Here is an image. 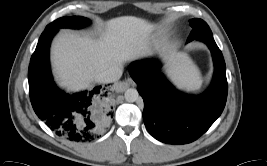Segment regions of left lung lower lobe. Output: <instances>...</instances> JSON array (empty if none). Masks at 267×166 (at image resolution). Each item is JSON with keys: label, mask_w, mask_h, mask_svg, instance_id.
Here are the masks:
<instances>
[{"label": "left lung lower lobe", "mask_w": 267, "mask_h": 166, "mask_svg": "<svg viewBox=\"0 0 267 166\" xmlns=\"http://www.w3.org/2000/svg\"><path fill=\"white\" fill-rule=\"evenodd\" d=\"M195 39L208 45L215 67L211 86L200 96L176 90L160 72V64L155 59L137 61L129 67L144 100L145 126L154 138L164 143L187 144L195 141L216 121L226 104L228 86L222 52L212 33Z\"/></svg>", "instance_id": "left-lung-lower-lobe-1"}]
</instances>
